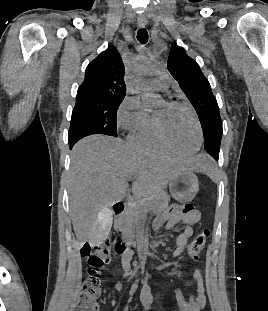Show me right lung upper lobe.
<instances>
[{"instance_id":"cb5924a9","label":"right lung upper lobe","mask_w":268,"mask_h":311,"mask_svg":"<svg viewBox=\"0 0 268 311\" xmlns=\"http://www.w3.org/2000/svg\"><path fill=\"white\" fill-rule=\"evenodd\" d=\"M77 95L124 99L126 95L124 64L113 45L89 63L85 71V79L79 86Z\"/></svg>"}]
</instances>
